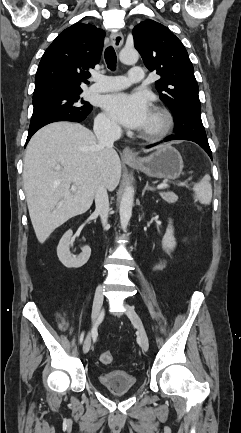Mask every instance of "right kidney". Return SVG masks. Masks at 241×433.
Here are the masks:
<instances>
[{"mask_svg": "<svg viewBox=\"0 0 241 433\" xmlns=\"http://www.w3.org/2000/svg\"><path fill=\"white\" fill-rule=\"evenodd\" d=\"M73 232L68 230L61 238L57 247V256L60 262L67 268H79L82 267L90 258L91 248L84 246L82 252L77 256H73L70 252L69 246L73 242Z\"/></svg>", "mask_w": 241, "mask_h": 433, "instance_id": "1", "label": "right kidney"}]
</instances>
